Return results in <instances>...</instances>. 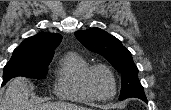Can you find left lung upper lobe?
<instances>
[{
    "label": "left lung upper lobe",
    "mask_w": 171,
    "mask_h": 110,
    "mask_svg": "<svg viewBox=\"0 0 171 110\" xmlns=\"http://www.w3.org/2000/svg\"><path fill=\"white\" fill-rule=\"evenodd\" d=\"M75 36L87 49L104 56L121 73L120 100L136 97L147 101L132 55L117 38L99 28L77 31Z\"/></svg>",
    "instance_id": "left-lung-upper-lobe-1"
}]
</instances>
